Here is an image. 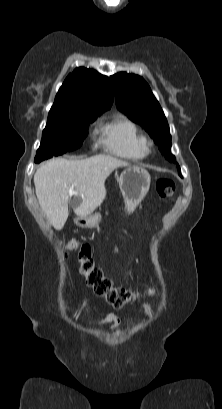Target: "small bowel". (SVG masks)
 <instances>
[{"mask_svg": "<svg viewBox=\"0 0 222 409\" xmlns=\"http://www.w3.org/2000/svg\"><path fill=\"white\" fill-rule=\"evenodd\" d=\"M120 324V319L118 316H116L113 313L107 314L105 317L100 319L96 326H104V325H110V328L113 330L115 329L118 325Z\"/></svg>", "mask_w": 222, "mask_h": 409, "instance_id": "c3829d8e", "label": "small bowel"}]
</instances>
